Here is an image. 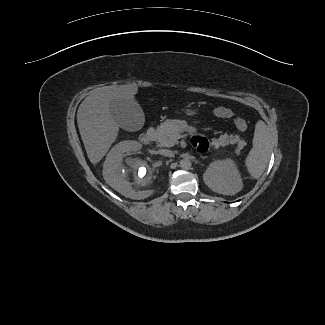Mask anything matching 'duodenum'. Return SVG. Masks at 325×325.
I'll list each match as a JSON object with an SVG mask.
<instances>
[{
	"label": "duodenum",
	"mask_w": 325,
	"mask_h": 325,
	"mask_svg": "<svg viewBox=\"0 0 325 325\" xmlns=\"http://www.w3.org/2000/svg\"><path fill=\"white\" fill-rule=\"evenodd\" d=\"M156 137V132L154 130H148L140 135V142L144 145L150 144Z\"/></svg>",
	"instance_id": "1"
}]
</instances>
